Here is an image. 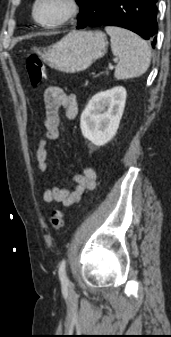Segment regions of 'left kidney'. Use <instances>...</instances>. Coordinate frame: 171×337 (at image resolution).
I'll use <instances>...</instances> for the list:
<instances>
[{
	"mask_svg": "<svg viewBox=\"0 0 171 337\" xmlns=\"http://www.w3.org/2000/svg\"><path fill=\"white\" fill-rule=\"evenodd\" d=\"M126 95L121 86L95 94L81 115L82 135L96 146L110 141L119 127Z\"/></svg>",
	"mask_w": 171,
	"mask_h": 337,
	"instance_id": "1",
	"label": "left kidney"
}]
</instances>
